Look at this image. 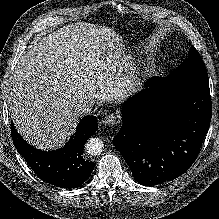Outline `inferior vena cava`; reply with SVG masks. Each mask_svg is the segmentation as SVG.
<instances>
[{
  "label": "inferior vena cava",
  "mask_w": 219,
  "mask_h": 219,
  "mask_svg": "<svg viewBox=\"0 0 219 219\" xmlns=\"http://www.w3.org/2000/svg\"><path fill=\"white\" fill-rule=\"evenodd\" d=\"M94 103L92 100L80 101L75 105V112L79 116H85L91 113Z\"/></svg>",
  "instance_id": "1"
}]
</instances>
